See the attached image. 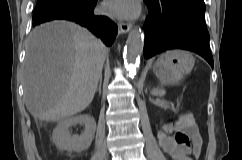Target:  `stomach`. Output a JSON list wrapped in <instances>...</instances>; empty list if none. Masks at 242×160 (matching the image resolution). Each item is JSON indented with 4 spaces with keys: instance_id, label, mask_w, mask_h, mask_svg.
Listing matches in <instances>:
<instances>
[{
    "instance_id": "1",
    "label": "stomach",
    "mask_w": 242,
    "mask_h": 160,
    "mask_svg": "<svg viewBox=\"0 0 242 160\" xmlns=\"http://www.w3.org/2000/svg\"><path fill=\"white\" fill-rule=\"evenodd\" d=\"M194 57L188 51L176 50L161 55L153 66L157 78L163 83H174L191 71Z\"/></svg>"
}]
</instances>
